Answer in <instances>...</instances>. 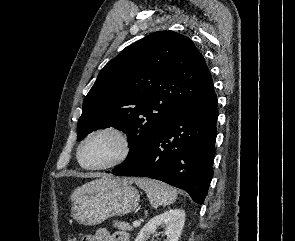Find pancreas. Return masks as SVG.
<instances>
[{
    "label": "pancreas",
    "instance_id": "cf45deb5",
    "mask_svg": "<svg viewBox=\"0 0 295 241\" xmlns=\"http://www.w3.org/2000/svg\"><path fill=\"white\" fill-rule=\"evenodd\" d=\"M113 226L120 230H128V231L132 230V226H130V224L127 222L115 221Z\"/></svg>",
    "mask_w": 295,
    "mask_h": 241
}]
</instances>
